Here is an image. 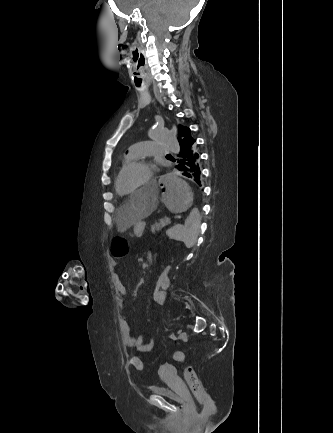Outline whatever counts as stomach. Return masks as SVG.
I'll return each mask as SVG.
<instances>
[{
	"label": "stomach",
	"mask_w": 333,
	"mask_h": 433,
	"mask_svg": "<svg viewBox=\"0 0 333 433\" xmlns=\"http://www.w3.org/2000/svg\"><path fill=\"white\" fill-rule=\"evenodd\" d=\"M161 194L164 197L165 209L170 215H186L193 200V191L190 183H185V177L179 174H161ZM143 222L139 221L134 227L135 234L141 231Z\"/></svg>",
	"instance_id": "0dacf381"
}]
</instances>
